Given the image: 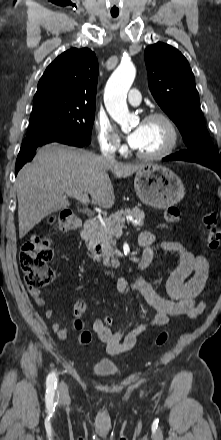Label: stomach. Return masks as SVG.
<instances>
[{
    "mask_svg": "<svg viewBox=\"0 0 221 440\" xmlns=\"http://www.w3.org/2000/svg\"><path fill=\"white\" fill-rule=\"evenodd\" d=\"M134 188L145 204L165 209L177 204L184 196V185L170 168L148 163L135 175Z\"/></svg>",
    "mask_w": 221,
    "mask_h": 440,
    "instance_id": "1",
    "label": "stomach"
}]
</instances>
